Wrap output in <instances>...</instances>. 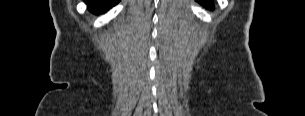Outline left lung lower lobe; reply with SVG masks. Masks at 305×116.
I'll list each match as a JSON object with an SVG mask.
<instances>
[{
	"label": "left lung lower lobe",
	"instance_id": "0a47b994",
	"mask_svg": "<svg viewBox=\"0 0 305 116\" xmlns=\"http://www.w3.org/2000/svg\"><path fill=\"white\" fill-rule=\"evenodd\" d=\"M197 1L209 10H212L214 8L211 0H197Z\"/></svg>",
	"mask_w": 305,
	"mask_h": 116
}]
</instances>
